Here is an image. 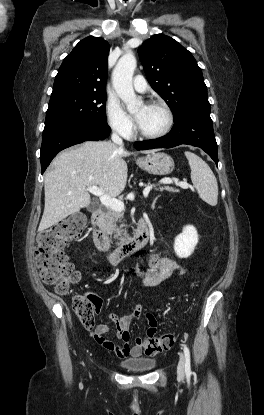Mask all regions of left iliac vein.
<instances>
[{
    "label": "left iliac vein",
    "instance_id": "4c4485c4",
    "mask_svg": "<svg viewBox=\"0 0 264 415\" xmlns=\"http://www.w3.org/2000/svg\"><path fill=\"white\" fill-rule=\"evenodd\" d=\"M177 374L181 379H183L185 376V361L182 353H180V358L177 366Z\"/></svg>",
    "mask_w": 264,
    "mask_h": 415
}]
</instances>
